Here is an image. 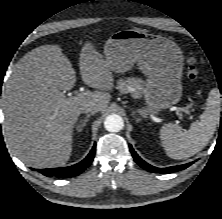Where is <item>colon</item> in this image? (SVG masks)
I'll return each instance as SVG.
<instances>
[{"instance_id": "obj_1", "label": "colon", "mask_w": 222, "mask_h": 219, "mask_svg": "<svg viewBox=\"0 0 222 219\" xmlns=\"http://www.w3.org/2000/svg\"><path fill=\"white\" fill-rule=\"evenodd\" d=\"M187 63H188L187 77L190 80L195 81L199 75V70L197 67V61H196L195 57H193V56L189 57Z\"/></svg>"}]
</instances>
